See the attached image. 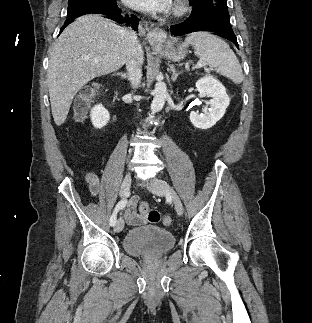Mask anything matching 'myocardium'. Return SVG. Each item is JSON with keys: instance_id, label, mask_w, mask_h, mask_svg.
Listing matches in <instances>:
<instances>
[{"instance_id": "myocardium-1", "label": "myocardium", "mask_w": 312, "mask_h": 323, "mask_svg": "<svg viewBox=\"0 0 312 323\" xmlns=\"http://www.w3.org/2000/svg\"><path fill=\"white\" fill-rule=\"evenodd\" d=\"M174 2L170 4V9L172 13H175L176 19H179L183 15H188V0H174Z\"/></svg>"}]
</instances>
